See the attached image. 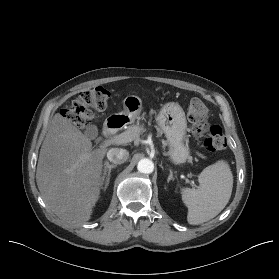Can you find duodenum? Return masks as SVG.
<instances>
[{"instance_id": "410a0bca", "label": "duodenum", "mask_w": 279, "mask_h": 279, "mask_svg": "<svg viewBox=\"0 0 279 279\" xmlns=\"http://www.w3.org/2000/svg\"><path fill=\"white\" fill-rule=\"evenodd\" d=\"M123 124V120L119 116L109 118L103 128V135H113L118 131L119 128L123 126Z\"/></svg>"}]
</instances>
